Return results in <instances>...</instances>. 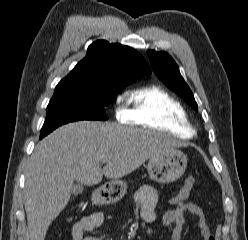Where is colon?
<instances>
[{"label": "colon", "mask_w": 248, "mask_h": 240, "mask_svg": "<svg viewBox=\"0 0 248 240\" xmlns=\"http://www.w3.org/2000/svg\"><path fill=\"white\" fill-rule=\"evenodd\" d=\"M193 185L194 178L188 177L179 192L169 200L168 204L172 206H177L181 203H184L185 200L189 197Z\"/></svg>", "instance_id": "5ec220e1"}]
</instances>
